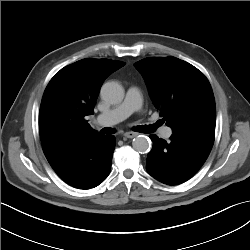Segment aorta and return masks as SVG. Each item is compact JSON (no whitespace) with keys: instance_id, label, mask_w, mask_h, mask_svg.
I'll return each mask as SVG.
<instances>
[{"instance_id":"obj_1","label":"aorta","mask_w":250,"mask_h":250,"mask_svg":"<svg viewBox=\"0 0 250 250\" xmlns=\"http://www.w3.org/2000/svg\"><path fill=\"white\" fill-rule=\"evenodd\" d=\"M102 99L110 104L121 103L124 98V89L117 82H107L101 88ZM150 140L144 135H139L133 139L132 146L139 153H146L150 149Z\"/></svg>"}]
</instances>
